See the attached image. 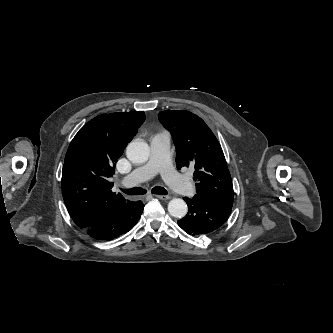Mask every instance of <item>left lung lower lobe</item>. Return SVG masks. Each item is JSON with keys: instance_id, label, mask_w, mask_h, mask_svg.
I'll list each match as a JSON object with an SVG mask.
<instances>
[{"instance_id": "1", "label": "left lung lower lobe", "mask_w": 333, "mask_h": 333, "mask_svg": "<svg viewBox=\"0 0 333 333\" xmlns=\"http://www.w3.org/2000/svg\"><path fill=\"white\" fill-rule=\"evenodd\" d=\"M188 205V214L178 220V225L189 235L208 234L222 226L231 213V207L210 204L194 196L184 197Z\"/></svg>"}]
</instances>
